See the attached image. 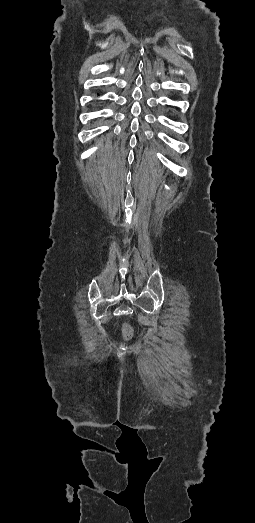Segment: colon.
<instances>
[{
    "instance_id": "obj_1",
    "label": "colon",
    "mask_w": 255,
    "mask_h": 523,
    "mask_svg": "<svg viewBox=\"0 0 255 523\" xmlns=\"http://www.w3.org/2000/svg\"><path fill=\"white\" fill-rule=\"evenodd\" d=\"M122 333L125 339H130L133 334V329L130 325L124 324L122 328Z\"/></svg>"
}]
</instances>
